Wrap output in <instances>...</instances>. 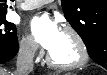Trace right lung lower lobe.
Wrapping results in <instances>:
<instances>
[{
	"label": "right lung lower lobe",
	"mask_w": 107,
	"mask_h": 75,
	"mask_svg": "<svg viewBox=\"0 0 107 75\" xmlns=\"http://www.w3.org/2000/svg\"><path fill=\"white\" fill-rule=\"evenodd\" d=\"M18 51V42L10 45H0V63L3 64L11 60Z\"/></svg>",
	"instance_id": "98d812e1"
}]
</instances>
